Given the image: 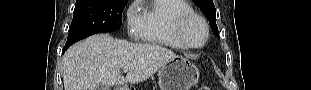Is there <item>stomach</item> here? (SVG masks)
I'll return each instance as SVG.
<instances>
[{
    "label": "stomach",
    "instance_id": "obj_1",
    "mask_svg": "<svg viewBox=\"0 0 311 90\" xmlns=\"http://www.w3.org/2000/svg\"><path fill=\"white\" fill-rule=\"evenodd\" d=\"M160 90H190L198 83L197 67L186 58L175 57L158 71Z\"/></svg>",
    "mask_w": 311,
    "mask_h": 90
}]
</instances>
